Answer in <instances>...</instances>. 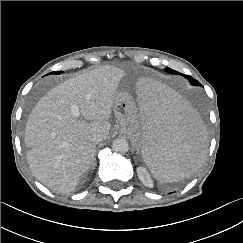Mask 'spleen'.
Segmentation results:
<instances>
[{"instance_id":"obj_1","label":"spleen","mask_w":243,"mask_h":243,"mask_svg":"<svg viewBox=\"0 0 243 243\" xmlns=\"http://www.w3.org/2000/svg\"><path fill=\"white\" fill-rule=\"evenodd\" d=\"M136 94V144L142 165L161 183L191 176L206 154L207 136L200 117L152 78L141 79Z\"/></svg>"}]
</instances>
